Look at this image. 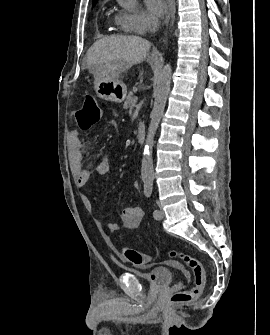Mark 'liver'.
<instances>
[{
	"instance_id": "obj_1",
	"label": "liver",
	"mask_w": 270,
	"mask_h": 335,
	"mask_svg": "<svg viewBox=\"0 0 270 335\" xmlns=\"http://www.w3.org/2000/svg\"><path fill=\"white\" fill-rule=\"evenodd\" d=\"M150 46L148 40L139 36H106L89 48L87 66L93 72L105 70L111 78H118L134 64L143 62Z\"/></svg>"
}]
</instances>
